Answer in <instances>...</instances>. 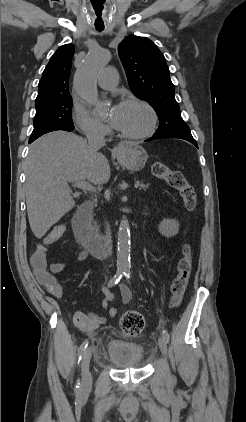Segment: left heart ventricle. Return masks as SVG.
<instances>
[{"mask_svg": "<svg viewBox=\"0 0 246 422\" xmlns=\"http://www.w3.org/2000/svg\"><path fill=\"white\" fill-rule=\"evenodd\" d=\"M150 117L145 108L138 104H121L117 128L127 133L143 132L149 125Z\"/></svg>", "mask_w": 246, "mask_h": 422, "instance_id": "b2bd125f", "label": "left heart ventricle"}]
</instances>
